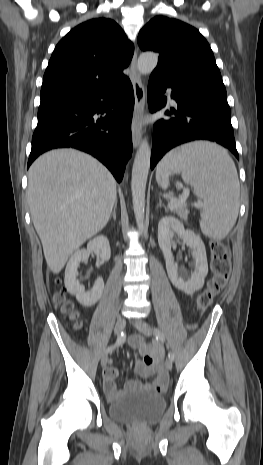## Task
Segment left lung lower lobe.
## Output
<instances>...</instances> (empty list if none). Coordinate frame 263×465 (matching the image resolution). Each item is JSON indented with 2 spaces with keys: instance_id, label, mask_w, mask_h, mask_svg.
I'll list each match as a JSON object with an SVG mask.
<instances>
[{
  "instance_id": "1",
  "label": "left lung lower lobe",
  "mask_w": 263,
  "mask_h": 465,
  "mask_svg": "<svg viewBox=\"0 0 263 465\" xmlns=\"http://www.w3.org/2000/svg\"><path fill=\"white\" fill-rule=\"evenodd\" d=\"M166 88H172L171 97L178 108L165 113H172L175 117L160 119L154 124L151 169L169 150L194 140L216 142L239 159L227 95L212 92L191 80H173L152 73L148 83L150 112H156L166 105L167 98L163 97Z\"/></svg>"
}]
</instances>
